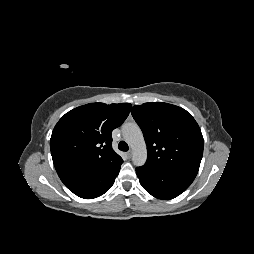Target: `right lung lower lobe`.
I'll return each mask as SVG.
<instances>
[{"instance_id": "obj_1", "label": "right lung lower lobe", "mask_w": 254, "mask_h": 254, "mask_svg": "<svg viewBox=\"0 0 254 254\" xmlns=\"http://www.w3.org/2000/svg\"><path fill=\"white\" fill-rule=\"evenodd\" d=\"M122 162L98 170L73 172L60 178L75 195L85 199L96 198L112 187Z\"/></svg>"}]
</instances>
